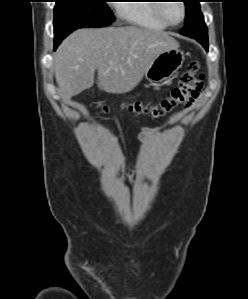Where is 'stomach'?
Instances as JSON below:
<instances>
[{"mask_svg":"<svg viewBox=\"0 0 248 299\" xmlns=\"http://www.w3.org/2000/svg\"><path fill=\"white\" fill-rule=\"evenodd\" d=\"M184 54L179 49L167 50L158 55L145 72L150 82H162L171 77L183 64Z\"/></svg>","mask_w":248,"mask_h":299,"instance_id":"obj_1","label":"stomach"}]
</instances>
